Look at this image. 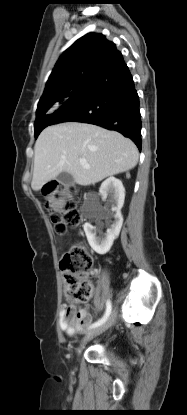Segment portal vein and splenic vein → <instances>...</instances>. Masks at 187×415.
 Instances as JSON below:
<instances>
[{
  "instance_id": "obj_1",
  "label": "portal vein and splenic vein",
  "mask_w": 187,
  "mask_h": 415,
  "mask_svg": "<svg viewBox=\"0 0 187 415\" xmlns=\"http://www.w3.org/2000/svg\"><path fill=\"white\" fill-rule=\"evenodd\" d=\"M80 164L85 168H90L89 164L85 159H80Z\"/></svg>"
}]
</instances>
